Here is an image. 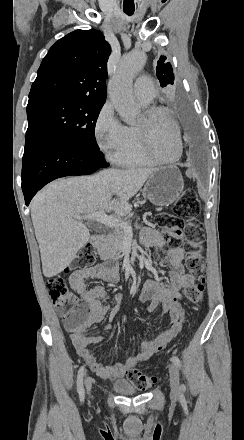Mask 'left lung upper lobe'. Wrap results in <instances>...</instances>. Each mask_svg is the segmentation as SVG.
Returning <instances> with one entry per match:
<instances>
[{
  "instance_id": "left-lung-upper-lobe-1",
  "label": "left lung upper lobe",
  "mask_w": 244,
  "mask_h": 440,
  "mask_svg": "<svg viewBox=\"0 0 244 440\" xmlns=\"http://www.w3.org/2000/svg\"><path fill=\"white\" fill-rule=\"evenodd\" d=\"M156 75L160 82L161 87H166L174 84V73L172 66L169 62H166V57L161 56L157 62Z\"/></svg>"
}]
</instances>
